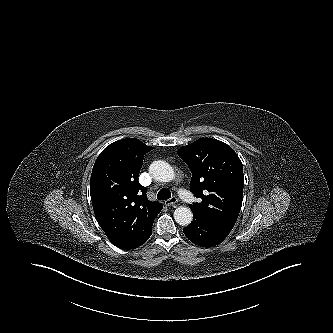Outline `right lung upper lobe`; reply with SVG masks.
<instances>
[{"mask_svg": "<svg viewBox=\"0 0 333 333\" xmlns=\"http://www.w3.org/2000/svg\"><path fill=\"white\" fill-rule=\"evenodd\" d=\"M152 149L138 139H122L107 146L93 166L90 195L96 220L121 249L145 243L163 208L147 199L146 188L138 181L144 154Z\"/></svg>", "mask_w": 333, "mask_h": 333, "instance_id": "cb5924a9", "label": "right lung upper lobe"}]
</instances>
